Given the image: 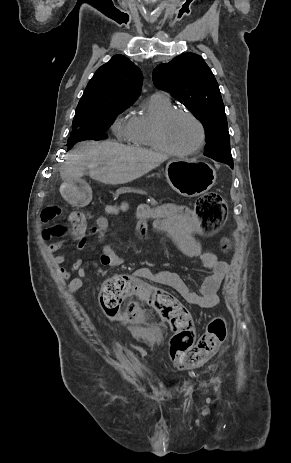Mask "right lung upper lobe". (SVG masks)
I'll return each instance as SVG.
<instances>
[{
	"mask_svg": "<svg viewBox=\"0 0 291 463\" xmlns=\"http://www.w3.org/2000/svg\"><path fill=\"white\" fill-rule=\"evenodd\" d=\"M143 76L123 55H114L88 82L75 114L94 110L107 102L133 104L140 95Z\"/></svg>",
	"mask_w": 291,
	"mask_h": 463,
	"instance_id": "obj_1",
	"label": "right lung upper lobe"
}]
</instances>
